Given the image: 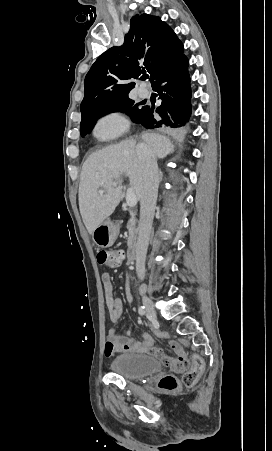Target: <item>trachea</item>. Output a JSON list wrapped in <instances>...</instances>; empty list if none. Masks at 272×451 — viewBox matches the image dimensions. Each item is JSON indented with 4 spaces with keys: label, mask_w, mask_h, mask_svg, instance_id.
Listing matches in <instances>:
<instances>
[{
    "label": "trachea",
    "mask_w": 272,
    "mask_h": 451,
    "mask_svg": "<svg viewBox=\"0 0 272 451\" xmlns=\"http://www.w3.org/2000/svg\"><path fill=\"white\" fill-rule=\"evenodd\" d=\"M147 78H149V76L146 73H144L141 77L142 80H147Z\"/></svg>",
    "instance_id": "1"
}]
</instances>
